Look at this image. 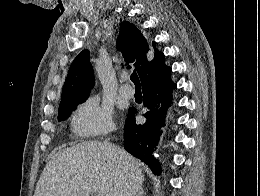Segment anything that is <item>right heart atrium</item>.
Wrapping results in <instances>:
<instances>
[{"label":"right heart atrium","instance_id":"right-heart-atrium-1","mask_svg":"<svg viewBox=\"0 0 260 196\" xmlns=\"http://www.w3.org/2000/svg\"><path fill=\"white\" fill-rule=\"evenodd\" d=\"M113 127V111L102 102L98 94L89 95L78 105L72 116L71 128L81 138L80 143H106L96 137Z\"/></svg>","mask_w":260,"mask_h":196}]
</instances>
